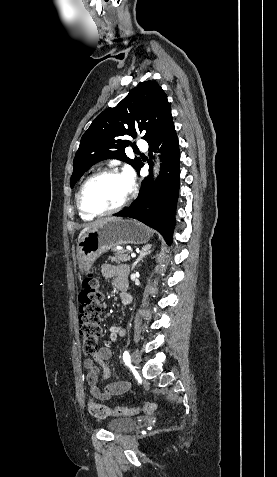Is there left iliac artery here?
Returning a JSON list of instances; mask_svg holds the SVG:
<instances>
[{"instance_id": "1", "label": "left iliac artery", "mask_w": 277, "mask_h": 477, "mask_svg": "<svg viewBox=\"0 0 277 477\" xmlns=\"http://www.w3.org/2000/svg\"><path fill=\"white\" fill-rule=\"evenodd\" d=\"M123 360H124L126 365L130 366V355H129L128 351H125L123 353Z\"/></svg>"}]
</instances>
